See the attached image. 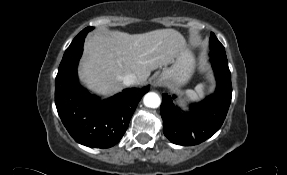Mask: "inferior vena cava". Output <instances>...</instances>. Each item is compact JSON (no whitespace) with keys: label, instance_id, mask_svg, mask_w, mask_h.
I'll return each mask as SVG.
<instances>
[{"label":"inferior vena cava","instance_id":"obj_1","mask_svg":"<svg viewBox=\"0 0 287 175\" xmlns=\"http://www.w3.org/2000/svg\"><path fill=\"white\" fill-rule=\"evenodd\" d=\"M123 83L124 85L126 86H130V85H133L135 83H137V77L135 74H127L123 77Z\"/></svg>","mask_w":287,"mask_h":175}]
</instances>
